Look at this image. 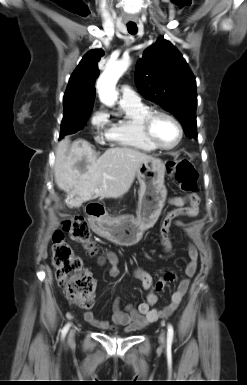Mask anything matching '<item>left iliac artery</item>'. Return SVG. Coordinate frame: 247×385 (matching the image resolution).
Segmentation results:
<instances>
[{
    "mask_svg": "<svg viewBox=\"0 0 247 385\" xmlns=\"http://www.w3.org/2000/svg\"><path fill=\"white\" fill-rule=\"evenodd\" d=\"M167 329V343L171 344L173 341L174 330L170 324L168 325Z\"/></svg>",
    "mask_w": 247,
    "mask_h": 385,
    "instance_id": "1",
    "label": "left iliac artery"
}]
</instances>
